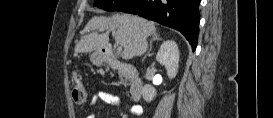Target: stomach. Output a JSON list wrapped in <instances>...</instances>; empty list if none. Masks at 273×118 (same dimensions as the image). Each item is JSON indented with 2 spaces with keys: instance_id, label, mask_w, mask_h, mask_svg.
I'll return each instance as SVG.
<instances>
[{
  "instance_id": "0dacf381",
  "label": "stomach",
  "mask_w": 273,
  "mask_h": 118,
  "mask_svg": "<svg viewBox=\"0 0 273 118\" xmlns=\"http://www.w3.org/2000/svg\"><path fill=\"white\" fill-rule=\"evenodd\" d=\"M90 58L94 65H101L104 62V56L101 52L93 53Z\"/></svg>"
}]
</instances>
